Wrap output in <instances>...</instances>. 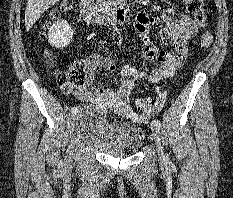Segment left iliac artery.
Instances as JSON below:
<instances>
[{
    "mask_svg": "<svg viewBox=\"0 0 233 198\" xmlns=\"http://www.w3.org/2000/svg\"><path fill=\"white\" fill-rule=\"evenodd\" d=\"M152 124H153L154 126L158 127V128L161 127V122H160L158 119H154L153 122H152Z\"/></svg>",
    "mask_w": 233,
    "mask_h": 198,
    "instance_id": "1",
    "label": "left iliac artery"
}]
</instances>
